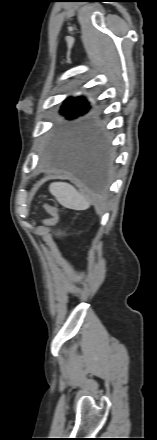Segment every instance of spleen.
Instances as JSON below:
<instances>
[{
  "instance_id": "obj_1",
  "label": "spleen",
  "mask_w": 157,
  "mask_h": 440,
  "mask_svg": "<svg viewBox=\"0 0 157 440\" xmlns=\"http://www.w3.org/2000/svg\"><path fill=\"white\" fill-rule=\"evenodd\" d=\"M49 191L65 208L80 211L90 207V202L68 183L53 182L49 186Z\"/></svg>"
}]
</instances>
